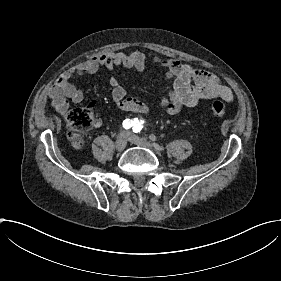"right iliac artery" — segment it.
I'll return each mask as SVG.
<instances>
[{
	"label": "right iliac artery",
	"instance_id": "right-iliac-artery-1",
	"mask_svg": "<svg viewBox=\"0 0 281 281\" xmlns=\"http://www.w3.org/2000/svg\"><path fill=\"white\" fill-rule=\"evenodd\" d=\"M132 126H133V121H132V120L126 119V120L123 121V127H124L125 129H129V128H131Z\"/></svg>",
	"mask_w": 281,
	"mask_h": 281
}]
</instances>
